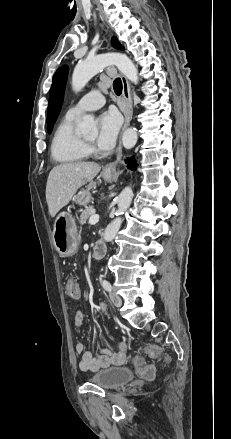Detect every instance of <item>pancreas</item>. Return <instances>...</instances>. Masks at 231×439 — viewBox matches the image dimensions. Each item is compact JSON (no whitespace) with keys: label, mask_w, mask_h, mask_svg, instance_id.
<instances>
[{"label":"pancreas","mask_w":231,"mask_h":439,"mask_svg":"<svg viewBox=\"0 0 231 439\" xmlns=\"http://www.w3.org/2000/svg\"><path fill=\"white\" fill-rule=\"evenodd\" d=\"M94 214H95V210L93 206L87 207L85 210L82 211L80 215V223L86 224L87 220Z\"/></svg>","instance_id":"pancreas-1"}]
</instances>
